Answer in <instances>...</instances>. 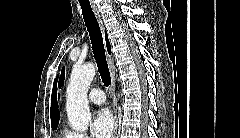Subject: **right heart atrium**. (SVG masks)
Segmentation results:
<instances>
[{
	"label": "right heart atrium",
	"instance_id": "1",
	"mask_svg": "<svg viewBox=\"0 0 240 138\" xmlns=\"http://www.w3.org/2000/svg\"><path fill=\"white\" fill-rule=\"evenodd\" d=\"M68 138H88L87 136H85L82 133H78V132H69L68 133Z\"/></svg>",
	"mask_w": 240,
	"mask_h": 138
}]
</instances>
